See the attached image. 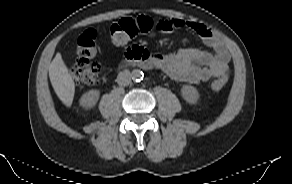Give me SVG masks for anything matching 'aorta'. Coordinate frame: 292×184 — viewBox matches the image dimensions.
<instances>
[{
    "label": "aorta",
    "instance_id": "obj_1",
    "mask_svg": "<svg viewBox=\"0 0 292 184\" xmlns=\"http://www.w3.org/2000/svg\"><path fill=\"white\" fill-rule=\"evenodd\" d=\"M143 77H144V74L139 69H134L131 73V78L134 81H140L143 79Z\"/></svg>",
    "mask_w": 292,
    "mask_h": 184
}]
</instances>
